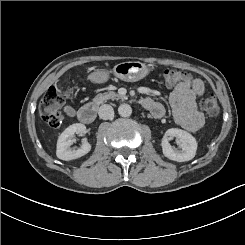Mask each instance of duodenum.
Returning a JSON list of instances; mask_svg holds the SVG:
<instances>
[{"mask_svg": "<svg viewBox=\"0 0 245 245\" xmlns=\"http://www.w3.org/2000/svg\"><path fill=\"white\" fill-rule=\"evenodd\" d=\"M96 108L91 104H86L78 111V119L86 124L92 123L96 118Z\"/></svg>", "mask_w": 245, "mask_h": 245, "instance_id": "obj_1", "label": "duodenum"}]
</instances>
